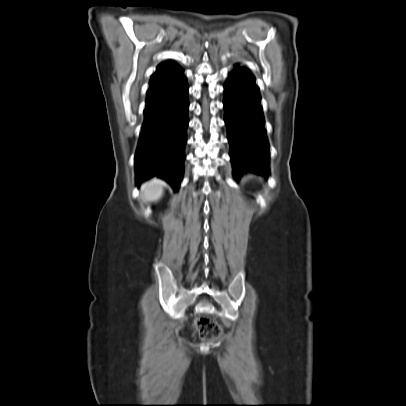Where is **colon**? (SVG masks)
I'll list each match as a JSON object with an SVG mask.
<instances>
[{
    "label": "colon",
    "mask_w": 406,
    "mask_h": 406,
    "mask_svg": "<svg viewBox=\"0 0 406 406\" xmlns=\"http://www.w3.org/2000/svg\"><path fill=\"white\" fill-rule=\"evenodd\" d=\"M199 335L206 340H214L222 335L220 325L208 314L200 315L196 320Z\"/></svg>",
    "instance_id": "1"
}]
</instances>
